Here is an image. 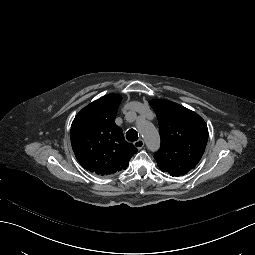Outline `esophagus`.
<instances>
[{"instance_id": "obj_1", "label": "esophagus", "mask_w": 255, "mask_h": 255, "mask_svg": "<svg viewBox=\"0 0 255 255\" xmlns=\"http://www.w3.org/2000/svg\"><path fill=\"white\" fill-rule=\"evenodd\" d=\"M134 146H135L138 150H140V149H142L143 146H144V141H143L142 139H139V140H137V141L134 142Z\"/></svg>"}]
</instances>
